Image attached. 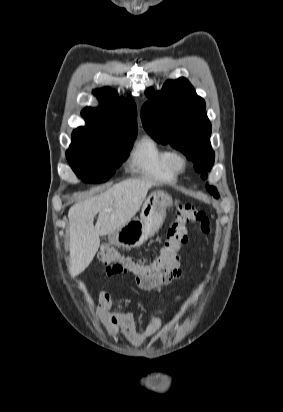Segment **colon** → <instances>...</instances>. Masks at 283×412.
Instances as JSON below:
<instances>
[{
    "label": "colon",
    "instance_id": "5ec220e1",
    "mask_svg": "<svg viewBox=\"0 0 283 412\" xmlns=\"http://www.w3.org/2000/svg\"><path fill=\"white\" fill-rule=\"evenodd\" d=\"M191 224L200 233L207 234L210 231L209 218L202 208L192 204H182L177 208L167 232L166 242L154 260L123 259L108 244L101 246L98 258L106 266V272L110 275L131 272L157 280L171 269L174 257L188 239Z\"/></svg>",
    "mask_w": 283,
    "mask_h": 412
}]
</instances>
